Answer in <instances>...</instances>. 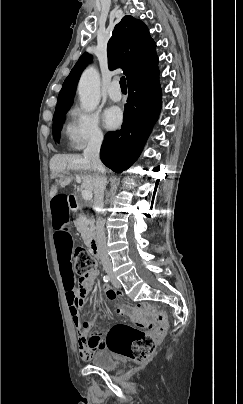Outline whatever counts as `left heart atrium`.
Listing matches in <instances>:
<instances>
[{
	"mask_svg": "<svg viewBox=\"0 0 243 404\" xmlns=\"http://www.w3.org/2000/svg\"><path fill=\"white\" fill-rule=\"evenodd\" d=\"M103 125L108 130L116 129L122 122V112L116 106L108 107L103 113Z\"/></svg>",
	"mask_w": 243,
	"mask_h": 404,
	"instance_id": "39dd6f15",
	"label": "left heart atrium"
}]
</instances>
